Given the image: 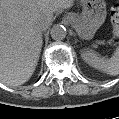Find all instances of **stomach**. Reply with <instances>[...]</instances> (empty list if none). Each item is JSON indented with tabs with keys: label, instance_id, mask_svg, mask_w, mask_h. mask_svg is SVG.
Listing matches in <instances>:
<instances>
[{
	"label": "stomach",
	"instance_id": "1",
	"mask_svg": "<svg viewBox=\"0 0 119 119\" xmlns=\"http://www.w3.org/2000/svg\"><path fill=\"white\" fill-rule=\"evenodd\" d=\"M83 11L80 16H74L70 23L81 39H91L96 30L106 19V4L103 0H80Z\"/></svg>",
	"mask_w": 119,
	"mask_h": 119
}]
</instances>
